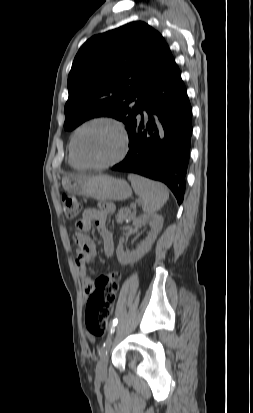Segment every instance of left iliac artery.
Segmentation results:
<instances>
[{
  "label": "left iliac artery",
  "instance_id": "left-iliac-artery-1",
  "mask_svg": "<svg viewBox=\"0 0 253 413\" xmlns=\"http://www.w3.org/2000/svg\"><path fill=\"white\" fill-rule=\"evenodd\" d=\"M117 318L113 319L110 330H109V334L107 336L106 341L104 342L103 346L101 347L100 351H99V355H103L107 352L108 347L111 345L112 342V336L114 334L115 331V326L117 325Z\"/></svg>",
  "mask_w": 253,
  "mask_h": 413
}]
</instances>
